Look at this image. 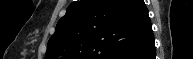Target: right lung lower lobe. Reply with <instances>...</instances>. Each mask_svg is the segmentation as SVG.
<instances>
[{
  "instance_id": "1",
  "label": "right lung lower lobe",
  "mask_w": 193,
  "mask_h": 59,
  "mask_svg": "<svg viewBox=\"0 0 193 59\" xmlns=\"http://www.w3.org/2000/svg\"><path fill=\"white\" fill-rule=\"evenodd\" d=\"M118 59H155V45L153 34H151L139 46L123 54Z\"/></svg>"
}]
</instances>
